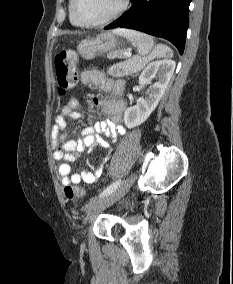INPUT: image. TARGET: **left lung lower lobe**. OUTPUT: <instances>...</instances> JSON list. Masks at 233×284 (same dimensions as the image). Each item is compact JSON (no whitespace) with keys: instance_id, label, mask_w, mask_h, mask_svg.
<instances>
[{"instance_id":"obj_1","label":"left lung lower lobe","mask_w":233,"mask_h":284,"mask_svg":"<svg viewBox=\"0 0 233 284\" xmlns=\"http://www.w3.org/2000/svg\"><path fill=\"white\" fill-rule=\"evenodd\" d=\"M131 8L105 29L130 28L162 37L183 54L191 0H132Z\"/></svg>"}]
</instances>
